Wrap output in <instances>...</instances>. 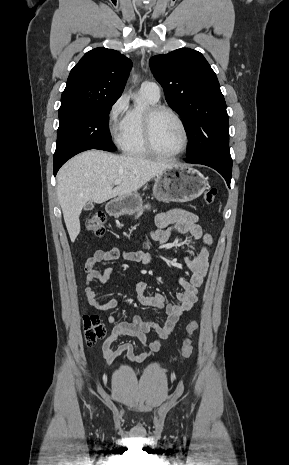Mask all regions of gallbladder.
Masks as SVG:
<instances>
[{
    "instance_id": "obj_1",
    "label": "gallbladder",
    "mask_w": 289,
    "mask_h": 465,
    "mask_svg": "<svg viewBox=\"0 0 289 465\" xmlns=\"http://www.w3.org/2000/svg\"><path fill=\"white\" fill-rule=\"evenodd\" d=\"M84 208L85 210H92L94 208V205L92 202H88Z\"/></svg>"
}]
</instances>
